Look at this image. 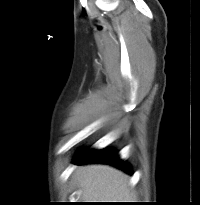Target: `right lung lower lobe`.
<instances>
[{
  "label": "right lung lower lobe",
  "instance_id": "98d812e1",
  "mask_svg": "<svg viewBox=\"0 0 200 205\" xmlns=\"http://www.w3.org/2000/svg\"><path fill=\"white\" fill-rule=\"evenodd\" d=\"M75 162L78 164L85 163H106L111 164L119 169L124 170L125 172L131 173V169L128 164L122 162L118 159L117 155L113 150H99V151H90L82 152L76 159Z\"/></svg>",
  "mask_w": 200,
  "mask_h": 205
}]
</instances>
